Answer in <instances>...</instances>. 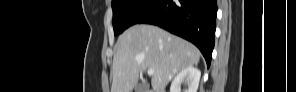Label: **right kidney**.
Here are the masks:
<instances>
[{
	"mask_svg": "<svg viewBox=\"0 0 296 92\" xmlns=\"http://www.w3.org/2000/svg\"><path fill=\"white\" fill-rule=\"evenodd\" d=\"M201 71L196 67L189 66L182 69L171 83L170 92H181V83L186 81L188 89L185 92H197Z\"/></svg>",
	"mask_w": 296,
	"mask_h": 92,
	"instance_id": "right-kidney-1",
	"label": "right kidney"
}]
</instances>
